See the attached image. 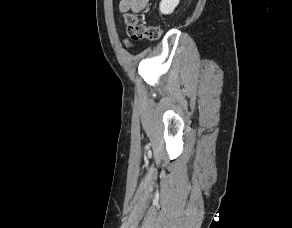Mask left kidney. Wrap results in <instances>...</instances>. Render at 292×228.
<instances>
[{"mask_svg": "<svg viewBox=\"0 0 292 228\" xmlns=\"http://www.w3.org/2000/svg\"><path fill=\"white\" fill-rule=\"evenodd\" d=\"M180 0H161L159 10L162 14H171Z\"/></svg>", "mask_w": 292, "mask_h": 228, "instance_id": "5707ae66", "label": "left kidney"}]
</instances>
